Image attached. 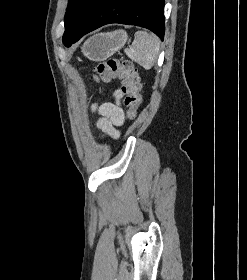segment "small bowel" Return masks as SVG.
Segmentation results:
<instances>
[{"label":"small bowel","mask_w":247,"mask_h":280,"mask_svg":"<svg viewBox=\"0 0 247 280\" xmlns=\"http://www.w3.org/2000/svg\"><path fill=\"white\" fill-rule=\"evenodd\" d=\"M122 95V89L115 92L117 99H120ZM94 109L97 110L101 116L97 123L100 130L113 138L119 137L117 127L121 126L124 122V112L118 102L104 103L99 107H94Z\"/></svg>","instance_id":"1"}]
</instances>
